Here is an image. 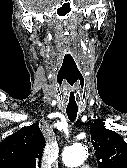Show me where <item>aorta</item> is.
I'll return each mask as SVG.
<instances>
[{"instance_id": "762f6f07", "label": "aorta", "mask_w": 127, "mask_h": 168, "mask_svg": "<svg viewBox=\"0 0 127 168\" xmlns=\"http://www.w3.org/2000/svg\"><path fill=\"white\" fill-rule=\"evenodd\" d=\"M86 158V148L81 144H75L66 148L62 154L63 163L69 168L81 165Z\"/></svg>"}]
</instances>
